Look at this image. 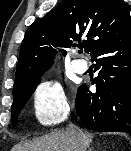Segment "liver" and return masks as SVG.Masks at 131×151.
Wrapping results in <instances>:
<instances>
[{"label":"liver","mask_w":131,"mask_h":151,"mask_svg":"<svg viewBox=\"0 0 131 151\" xmlns=\"http://www.w3.org/2000/svg\"><path fill=\"white\" fill-rule=\"evenodd\" d=\"M84 143L89 146L93 135L85 132ZM78 145L73 141L67 131H58L43 136L33 142H23L16 145L12 151H79Z\"/></svg>","instance_id":"6515ba94"}]
</instances>
